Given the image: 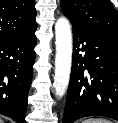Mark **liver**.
<instances>
[{
	"label": "liver",
	"mask_w": 118,
	"mask_h": 123,
	"mask_svg": "<svg viewBox=\"0 0 118 123\" xmlns=\"http://www.w3.org/2000/svg\"><path fill=\"white\" fill-rule=\"evenodd\" d=\"M0 123H4L3 120L0 118Z\"/></svg>",
	"instance_id": "1"
}]
</instances>
